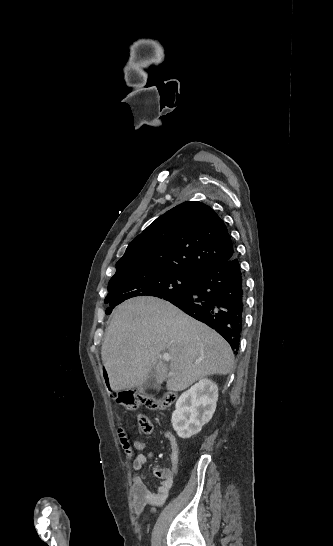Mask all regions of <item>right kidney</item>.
Returning a JSON list of instances; mask_svg holds the SVG:
<instances>
[{"instance_id": "right-kidney-1", "label": "right kidney", "mask_w": 333, "mask_h": 546, "mask_svg": "<svg viewBox=\"0 0 333 546\" xmlns=\"http://www.w3.org/2000/svg\"><path fill=\"white\" fill-rule=\"evenodd\" d=\"M218 387L210 379L199 380L181 394L172 414V424L177 435L190 438L199 433L210 421L216 409Z\"/></svg>"}]
</instances>
